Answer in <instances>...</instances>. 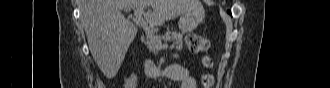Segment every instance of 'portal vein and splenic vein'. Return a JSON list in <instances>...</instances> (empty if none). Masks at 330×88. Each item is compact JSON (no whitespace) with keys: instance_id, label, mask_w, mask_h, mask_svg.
Segmentation results:
<instances>
[{"instance_id":"portal-vein-and-splenic-vein-1","label":"portal vein and splenic vein","mask_w":330,"mask_h":88,"mask_svg":"<svg viewBox=\"0 0 330 88\" xmlns=\"http://www.w3.org/2000/svg\"><path fill=\"white\" fill-rule=\"evenodd\" d=\"M134 17L136 19V23L144 30L145 34L148 38L151 39V41L154 43L155 47L157 49H167L168 44H162L153 32V30L148 26V23L143 19V10L142 9H136L134 11Z\"/></svg>"}]
</instances>
